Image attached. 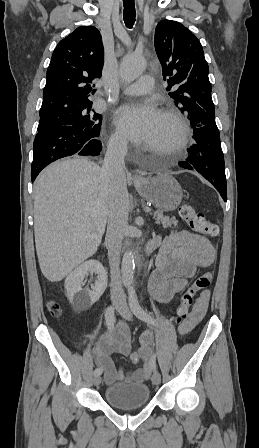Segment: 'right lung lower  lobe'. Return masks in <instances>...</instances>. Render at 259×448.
<instances>
[{
	"label": "right lung lower lobe",
	"mask_w": 259,
	"mask_h": 448,
	"mask_svg": "<svg viewBox=\"0 0 259 448\" xmlns=\"http://www.w3.org/2000/svg\"><path fill=\"white\" fill-rule=\"evenodd\" d=\"M99 133L78 130L73 126H56L38 132L33 144L31 180L51 162L73 154L97 156L102 150Z\"/></svg>",
	"instance_id": "1"
}]
</instances>
